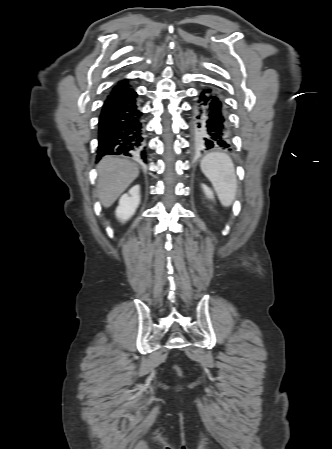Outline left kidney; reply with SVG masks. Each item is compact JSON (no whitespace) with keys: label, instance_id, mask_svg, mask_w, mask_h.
Wrapping results in <instances>:
<instances>
[{"label":"left kidney","instance_id":"1","mask_svg":"<svg viewBox=\"0 0 332 449\" xmlns=\"http://www.w3.org/2000/svg\"><path fill=\"white\" fill-rule=\"evenodd\" d=\"M202 189L207 198L214 199L213 192L208 186H206L205 184H202Z\"/></svg>","mask_w":332,"mask_h":449}]
</instances>
